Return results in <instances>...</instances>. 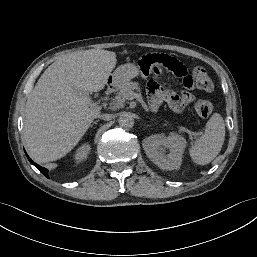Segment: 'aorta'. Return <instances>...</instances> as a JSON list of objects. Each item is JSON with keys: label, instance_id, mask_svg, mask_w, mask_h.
<instances>
[{"label": "aorta", "instance_id": "aorta-1", "mask_svg": "<svg viewBox=\"0 0 257 257\" xmlns=\"http://www.w3.org/2000/svg\"><path fill=\"white\" fill-rule=\"evenodd\" d=\"M118 123L124 129H131L134 126L133 116L128 112H123L118 119Z\"/></svg>", "mask_w": 257, "mask_h": 257}]
</instances>
